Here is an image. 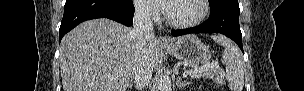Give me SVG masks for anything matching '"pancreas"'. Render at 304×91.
<instances>
[{
    "mask_svg": "<svg viewBox=\"0 0 304 91\" xmlns=\"http://www.w3.org/2000/svg\"><path fill=\"white\" fill-rule=\"evenodd\" d=\"M220 73H221L220 70H217V69H208V70H204L201 73L193 74L192 77L198 78V77L204 76L206 78H211L213 76H219Z\"/></svg>",
    "mask_w": 304,
    "mask_h": 91,
    "instance_id": "1",
    "label": "pancreas"
}]
</instances>
